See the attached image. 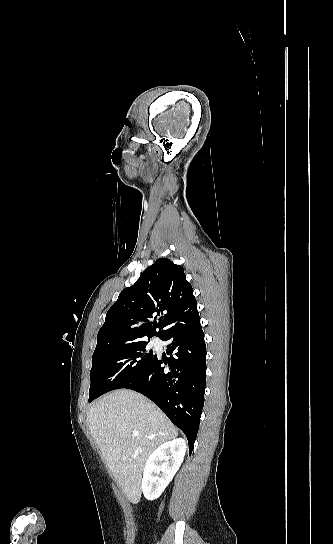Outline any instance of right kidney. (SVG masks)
<instances>
[{"label": "right kidney", "mask_w": 333, "mask_h": 544, "mask_svg": "<svg viewBox=\"0 0 333 544\" xmlns=\"http://www.w3.org/2000/svg\"><path fill=\"white\" fill-rule=\"evenodd\" d=\"M186 452L184 439L178 438L160 445L149 456L141 488L148 500L157 499L181 466Z\"/></svg>", "instance_id": "1"}]
</instances>
